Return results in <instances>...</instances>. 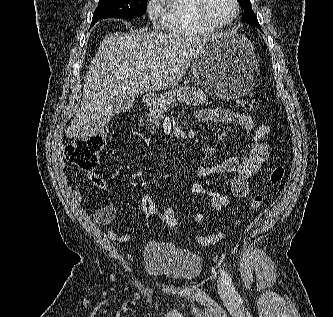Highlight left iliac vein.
I'll list each match as a JSON object with an SVG mask.
<instances>
[{
  "label": "left iliac vein",
  "mask_w": 333,
  "mask_h": 317,
  "mask_svg": "<svg viewBox=\"0 0 333 317\" xmlns=\"http://www.w3.org/2000/svg\"><path fill=\"white\" fill-rule=\"evenodd\" d=\"M218 292L223 299H228L230 297L228 288L222 278L217 280Z\"/></svg>",
  "instance_id": "obj_1"
}]
</instances>
